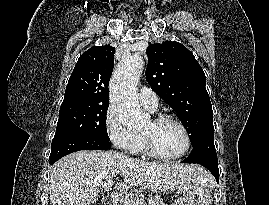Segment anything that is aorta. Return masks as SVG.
Segmentation results:
<instances>
[{"instance_id":"obj_1","label":"aorta","mask_w":269,"mask_h":205,"mask_svg":"<svg viewBox=\"0 0 269 205\" xmlns=\"http://www.w3.org/2000/svg\"><path fill=\"white\" fill-rule=\"evenodd\" d=\"M143 68L139 55L123 56L110 82L112 110L117 120L129 128H138L147 120L136 95Z\"/></svg>"}]
</instances>
